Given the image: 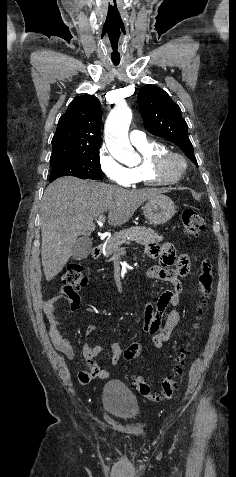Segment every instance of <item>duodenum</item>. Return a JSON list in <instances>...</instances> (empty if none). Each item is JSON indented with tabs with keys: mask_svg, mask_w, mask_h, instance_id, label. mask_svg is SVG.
<instances>
[{
	"mask_svg": "<svg viewBox=\"0 0 236 477\" xmlns=\"http://www.w3.org/2000/svg\"><path fill=\"white\" fill-rule=\"evenodd\" d=\"M102 248H103V246H102L101 243L94 246L93 251H92V255H93L94 258H97L101 254Z\"/></svg>",
	"mask_w": 236,
	"mask_h": 477,
	"instance_id": "410a0bca",
	"label": "duodenum"
}]
</instances>
